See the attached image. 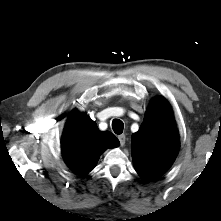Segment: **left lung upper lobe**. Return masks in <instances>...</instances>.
Instances as JSON below:
<instances>
[{"instance_id": "1", "label": "left lung upper lobe", "mask_w": 221, "mask_h": 221, "mask_svg": "<svg viewBox=\"0 0 221 221\" xmlns=\"http://www.w3.org/2000/svg\"><path fill=\"white\" fill-rule=\"evenodd\" d=\"M179 149L178 131L166 99H154L139 130L132 135L134 167L144 180H153L167 171Z\"/></svg>"}]
</instances>
